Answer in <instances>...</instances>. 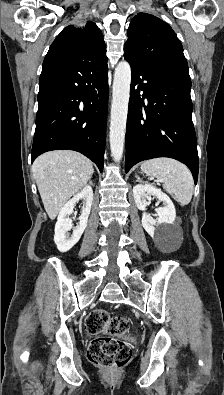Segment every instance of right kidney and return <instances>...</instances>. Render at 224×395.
<instances>
[{
  "instance_id": "obj_1",
  "label": "right kidney",
  "mask_w": 224,
  "mask_h": 395,
  "mask_svg": "<svg viewBox=\"0 0 224 395\" xmlns=\"http://www.w3.org/2000/svg\"><path fill=\"white\" fill-rule=\"evenodd\" d=\"M79 200H83L84 204L79 217V224L74 228L69 216L73 213V209ZM92 201L93 190L91 186L87 185L62 207L55 225L54 235V242L60 252L69 251L81 238L88 223ZM72 228L73 232L69 237L68 231Z\"/></svg>"
}]
</instances>
